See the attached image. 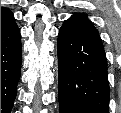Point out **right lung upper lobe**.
Wrapping results in <instances>:
<instances>
[{
	"label": "right lung upper lobe",
	"instance_id": "cb5924a9",
	"mask_svg": "<svg viewBox=\"0 0 121 113\" xmlns=\"http://www.w3.org/2000/svg\"><path fill=\"white\" fill-rule=\"evenodd\" d=\"M15 25L13 13L4 7H1V33Z\"/></svg>",
	"mask_w": 121,
	"mask_h": 113
}]
</instances>
